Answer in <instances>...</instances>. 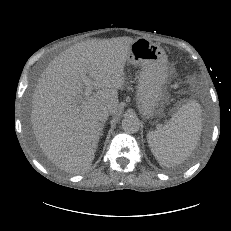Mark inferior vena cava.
<instances>
[{"label":"inferior vena cava","instance_id":"obj_1","mask_svg":"<svg viewBox=\"0 0 231 231\" xmlns=\"http://www.w3.org/2000/svg\"><path fill=\"white\" fill-rule=\"evenodd\" d=\"M110 113H111L110 109L107 108V107H104V108H102L101 110L98 111L97 119L99 121L104 122V121H106L108 119Z\"/></svg>","mask_w":231,"mask_h":231}]
</instances>
